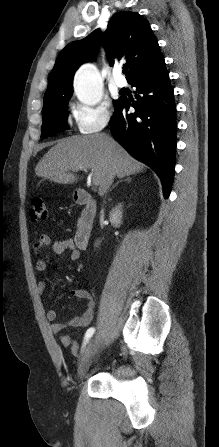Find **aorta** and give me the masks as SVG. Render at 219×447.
Masks as SVG:
<instances>
[{
    "instance_id": "obj_1",
    "label": "aorta",
    "mask_w": 219,
    "mask_h": 447,
    "mask_svg": "<svg viewBox=\"0 0 219 447\" xmlns=\"http://www.w3.org/2000/svg\"><path fill=\"white\" fill-rule=\"evenodd\" d=\"M74 89L79 101L88 106L97 105L102 99V89L96 67L85 64L79 68L74 78Z\"/></svg>"
}]
</instances>
